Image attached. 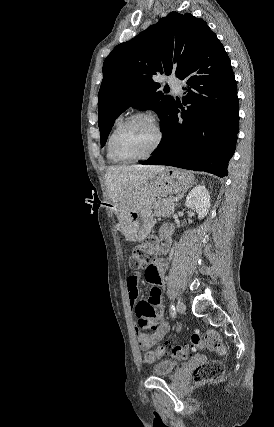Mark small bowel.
Instances as JSON below:
<instances>
[{
	"label": "small bowel",
	"mask_w": 274,
	"mask_h": 427,
	"mask_svg": "<svg viewBox=\"0 0 274 427\" xmlns=\"http://www.w3.org/2000/svg\"><path fill=\"white\" fill-rule=\"evenodd\" d=\"M155 269H146L144 271L145 279L153 286L148 291V299H139V304L136 301L139 297V283L141 277L132 275L127 278V298L131 306L135 305L133 319L135 327H142L144 332H155L152 335L140 332L136 329V337L139 347L143 345H155L161 340L170 329V324L164 318V312L161 311L160 293L164 286V275L168 267L166 259L157 260L154 263ZM149 278V279H148Z\"/></svg>",
	"instance_id": "1"
}]
</instances>
